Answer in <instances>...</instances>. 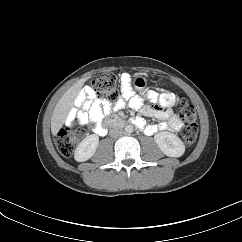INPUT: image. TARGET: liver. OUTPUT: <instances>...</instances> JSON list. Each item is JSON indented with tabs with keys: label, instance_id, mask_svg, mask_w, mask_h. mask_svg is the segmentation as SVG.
I'll return each mask as SVG.
<instances>
[{
	"label": "liver",
	"instance_id": "obj_1",
	"mask_svg": "<svg viewBox=\"0 0 242 242\" xmlns=\"http://www.w3.org/2000/svg\"><path fill=\"white\" fill-rule=\"evenodd\" d=\"M85 81L86 79H81L75 83L70 89H68V91L57 103L51 119V132L54 136H56L59 130L62 128L68 112L73 106V100Z\"/></svg>",
	"mask_w": 242,
	"mask_h": 242
}]
</instances>
